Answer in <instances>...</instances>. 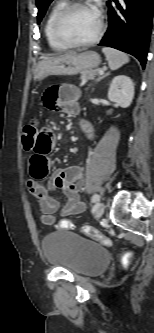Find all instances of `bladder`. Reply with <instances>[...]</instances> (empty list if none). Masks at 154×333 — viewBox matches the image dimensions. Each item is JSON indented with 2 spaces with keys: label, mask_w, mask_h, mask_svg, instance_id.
<instances>
[{
  "label": "bladder",
  "mask_w": 154,
  "mask_h": 333,
  "mask_svg": "<svg viewBox=\"0 0 154 333\" xmlns=\"http://www.w3.org/2000/svg\"><path fill=\"white\" fill-rule=\"evenodd\" d=\"M41 249L50 265L75 275L100 274L109 260L107 248L71 231L46 235Z\"/></svg>",
  "instance_id": "1"
}]
</instances>
